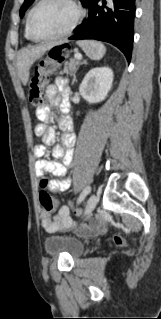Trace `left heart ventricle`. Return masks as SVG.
Listing matches in <instances>:
<instances>
[{"instance_id":"1","label":"left heart ventricle","mask_w":161,"mask_h":319,"mask_svg":"<svg viewBox=\"0 0 161 319\" xmlns=\"http://www.w3.org/2000/svg\"><path fill=\"white\" fill-rule=\"evenodd\" d=\"M73 15V8L65 0H49L34 15L33 33L37 37L55 35L66 28Z\"/></svg>"}]
</instances>
